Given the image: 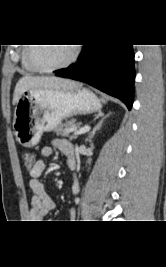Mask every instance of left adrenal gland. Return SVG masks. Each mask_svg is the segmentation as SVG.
<instances>
[{
  "label": "left adrenal gland",
  "mask_w": 166,
  "mask_h": 267,
  "mask_svg": "<svg viewBox=\"0 0 166 267\" xmlns=\"http://www.w3.org/2000/svg\"><path fill=\"white\" fill-rule=\"evenodd\" d=\"M110 114L107 115H103L102 113H99L97 117L101 116L102 119L94 126V128L91 130V132L88 134L87 138L85 139V141H91V139L93 138L94 134L96 133V131L100 130L104 120L109 116Z\"/></svg>",
  "instance_id": "left-adrenal-gland-1"
}]
</instances>
